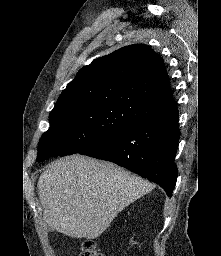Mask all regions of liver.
<instances>
[{"mask_svg": "<svg viewBox=\"0 0 221 256\" xmlns=\"http://www.w3.org/2000/svg\"><path fill=\"white\" fill-rule=\"evenodd\" d=\"M153 185L125 169L81 155L52 162L38 181L44 220L72 238L95 239Z\"/></svg>", "mask_w": 221, "mask_h": 256, "instance_id": "obj_1", "label": "liver"}]
</instances>
